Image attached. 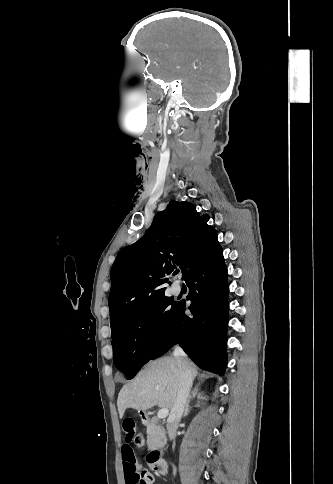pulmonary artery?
<instances>
[{"mask_svg": "<svg viewBox=\"0 0 333 484\" xmlns=\"http://www.w3.org/2000/svg\"><path fill=\"white\" fill-rule=\"evenodd\" d=\"M172 292L176 295L180 294L181 293V285L178 283V282H175L173 285H172Z\"/></svg>", "mask_w": 333, "mask_h": 484, "instance_id": "1", "label": "pulmonary artery"}]
</instances>
